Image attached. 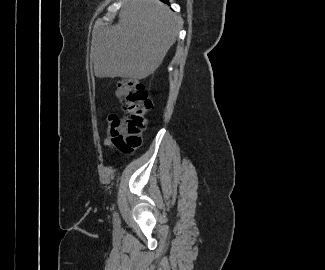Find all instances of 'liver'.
Instances as JSON below:
<instances>
[{
	"label": "liver",
	"instance_id": "liver-1",
	"mask_svg": "<svg viewBox=\"0 0 325 270\" xmlns=\"http://www.w3.org/2000/svg\"><path fill=\"white\" fill-rule=\"evenodd\" d=\"M179 19L158 0H127L113 26H96L90 57L98 78L145 79L174 44Z\"/></svg>",
	"mask_w": 325,
	"mask_h": 270
}]
</instances>
